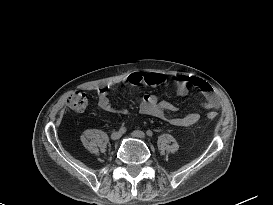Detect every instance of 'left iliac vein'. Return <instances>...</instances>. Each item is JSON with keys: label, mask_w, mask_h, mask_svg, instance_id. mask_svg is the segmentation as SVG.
I'll list each match as a JSON object with an SVG mask.
<instances>
[{"label": "left iliac vein", "mask_w": 273, "mask_h": 205, "mask_svg": "<svg viewBox=\"0 0 273 205\" xmlns=\"http://www.w3.org/2000/svg\"><path fill=\"white\" fill-rule=\"evenodd\" d=\"M131 135L135 138H139V139H145L146 135L143 131L140 130H135L131 133Z\"/></svg>", "instance_id": "4c4485c4"}]
</instances>
